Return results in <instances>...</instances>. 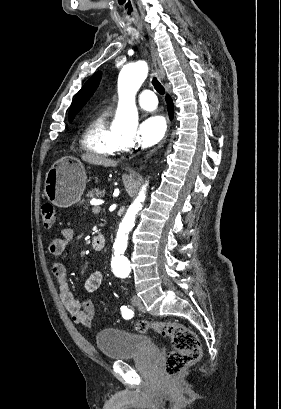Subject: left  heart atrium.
Returning a JSON list of instances; mask_svg holds the SVG:
<instances>
[{
    "instance_id": "1",
    "label": "left heart atrium",
    "mask_w": 281,
    "mask_h": 409,
    "mask_svg": "<svg viewBox=\"0 0 281 409\" xmlns=\"http://www.w3.org/2000/svg\"><path fill=\"white\" fill-rule=\"evenodd\" d=\"M166 123L162 116L152 114L139 126L137 142L142 147H151L157 144L164 136Z\"/></svg>"
}]
</instances>
